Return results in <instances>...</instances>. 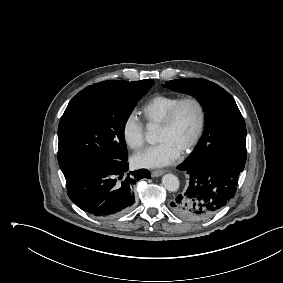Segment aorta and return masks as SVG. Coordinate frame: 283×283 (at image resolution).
Listing matches in <instances>:
<instances>
[{"label": "aorta", "mask_w": 283, "mask_h": 283, "mask_svg": "<svg viewBox=\"0 0 283 283\" xmlns=\"http://www.w3.org/2000/svg\"><path fill=\"white\" fill-rule=\"evenodd\" d=\"M145 139L150 144H154L157 142V139H158L157 130L154 125L149 124L147 126ZM162 184L166 190L170 192H175L178 190L180 182L177 176L173 174H165L162 177Z\"/></svg>", "instance_id": "762f6f07"}]
</instances>
